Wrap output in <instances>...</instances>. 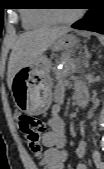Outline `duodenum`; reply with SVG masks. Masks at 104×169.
Returning <instances> with one entry per match:
<instances>
[{
	"mask_svg": "<svg viewBox=\"0 0 104 169\" xmlns=\"http://www.w3.org/2000/svg\"><path fill=\"white\" fill-rule=\"evenodd\" d=\"M76 105L79 109H85L88 106L87 96H79L76 98Z\"/></svg>",
	"mask_w": 104,
	"mask_h": 169,
	"instance_id": "duodenum-1",
	"label": "duodenum"
}]
</instances>
